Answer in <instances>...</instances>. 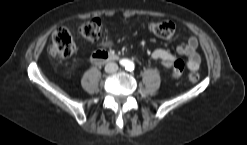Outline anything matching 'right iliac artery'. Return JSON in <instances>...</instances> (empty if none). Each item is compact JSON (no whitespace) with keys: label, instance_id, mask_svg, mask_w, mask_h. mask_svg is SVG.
Segmentation results:
<instances>
[{"label":"right iliac artery","instance_id":"right-iliac-artery-1","mask_svg":"<svg viewBox=\"0 0 247 145\" xmlns=\"http://www.w3.org/2000/svg\"><path fill=\"white\" fill-rule=\"evenodd\" d=\"M125 63H126V60H124V59L120 61V64H122V65H124Z\"/></svg>","mask_w":247,"mask_h":145}]
</instances>
